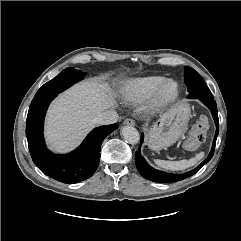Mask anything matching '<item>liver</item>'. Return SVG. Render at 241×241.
Segmentation results:
<instances>
[{"mask_svg":"<svg viewBox=\"0 0 241 241\" xmlns=\"http://www.w3.org/2000/svg\"><path fill=\"white\" fill-rule=\"evenodd\" d=\"M116 94L100 79L78 83L50 106L45 136L51 149L67 152L76 147L94 126L100 113L116 105Z\"/></svg>","mask_w":241,"mask_h":241,"instance_id":"liver-1","label":"liver"}]
</instances>
